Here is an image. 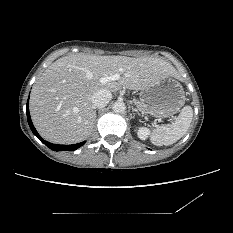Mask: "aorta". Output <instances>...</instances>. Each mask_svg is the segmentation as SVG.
I'll use <instances>...</instances> for the list:
<instances>
[{
    "label": "aorta",
    "mask_w": 233,
    "mask_h": 233,
    "mask_svg": "<svg viewBox=\"0 0 233 233\" xmlns=\"http://www.w3.org/2000/svg\"><path fill=\"white\" fill-rule=\"evenodd\" d=\"M126 109L125 103L122 101H116L113 104V111L116 113H123Z\"/></svg>",
    "instance_id": "aorta-1"
}]
</instances>
